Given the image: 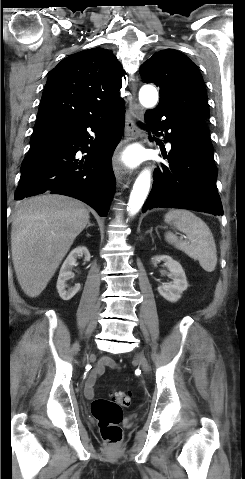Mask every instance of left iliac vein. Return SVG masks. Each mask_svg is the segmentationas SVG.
<instances>
[{"mask_svg":"<svg viewBox=\"0 0 245 479\" xmlns=\"http://www.w3.org/2000/svg\"><path fill=\"white\" fill-rule=\"evenodd\" d=\"M136 359L140 363V365L142 366L143 370L145 372H148L149 371V365H148V362H147L145 356L142 353H138L136 355Z\"/></svg>","mask_w":245,"mask_h":479,"instance_id":"obj_1","label":"left iliac vein"}]
</instances>
